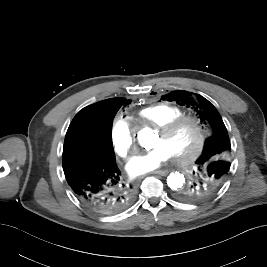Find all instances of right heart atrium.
Returning <instances> with one entry per match:
<instances>
[{"label":"right heart atrium","mask_w":267,"mask_h":267,"mask_svg":"<svg viewBox=\"0 0 267 267\" xmlns=\"http://www.w3.org/2000/svg\"><path fill=\"white\" fill-rule=\"evenodd\" d=\"M134 140V130L128 119L117 115L111 130V142L115 154L120 158H126L133 148Z\"/></svg>","instance_id":"right-heart-atrium-1"}]
</instances>
